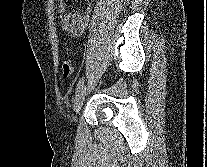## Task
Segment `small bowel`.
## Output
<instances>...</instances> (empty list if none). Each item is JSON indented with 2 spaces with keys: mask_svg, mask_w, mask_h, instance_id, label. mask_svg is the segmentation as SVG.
Instances as JSON below:
<instances>
[{
  "mask_svg": "<svg viewBox=\"0 0 207 167\" xmlns=\"http://www.w3.org/2000/svg\"><path fill=\"white\" fill-rule=\"evenodd\" d=\"M92 7V0H89L84 11L72 12L69 11L67 0H60L58 11L60 14V26L63 31L71 37H77L86 29L89 21V14Z\"/></svg>",
  "mask_w": 207,
  "mask_h": 167,
  "instance_id": "small-bowel-1",
  "label": "small bowel"
}]
</instances>
